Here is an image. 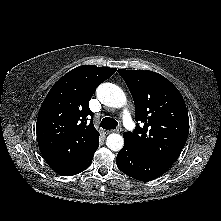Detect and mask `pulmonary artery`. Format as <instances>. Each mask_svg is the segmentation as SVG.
I'll list each match as a JSON object with an SVG mask.
<instances>
[{"label":"pulmonary artery","instance_id":"obj_1","mask_svg":"<svg viewBox=\"0 0 221 221\" xmlns=\"http://www.w3.org/2000/svg\"><path fill=\"white\" fill-rule=\"evenodd\" d=\"M123 124L125 125L126 128L133 130L135 128L134 122L130 116V113L125 110L123 112Z\"/></svg>","mask_w":221,"mask_h":221}]
</instances>
